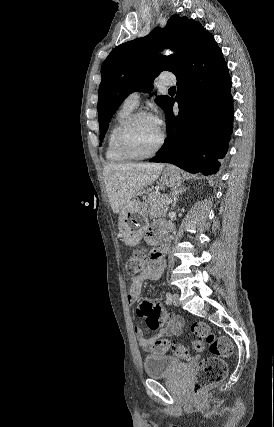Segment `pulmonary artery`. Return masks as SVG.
I'll return each mask as SVG.
<instances>
[{"mask_svg":"<svg viewBox=\"0 0 274 427\" xmlns=\"http://www.w3.org/2000/svg\"><path fill=\"white\" fill-rule=\"evenodd\" d=\"M164 82H162L163 84H168L171 85L174 83V78L171 76H168L166 78H164L163 80ZM139 99H140V95L138 92H134L132 94H130L123 102V107L126 109H130V110H134L139 106Z\"/></svg>","mask_w":274,"mask_h":427,"instance_id":"obj_1","label":"pulmonary artery"}]
</instances>
